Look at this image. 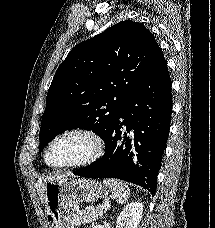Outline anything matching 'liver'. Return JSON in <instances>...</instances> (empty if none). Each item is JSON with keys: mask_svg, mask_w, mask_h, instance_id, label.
Returning <instances> with one entry per match:
<instances>
[{"mask_svg": "<svg viewBox=\"0 0 215 228\" xmlns=\"http://www.w3.org/2000/svg\"><path fill=\"white\" fill-rule=\"evenodd\" d=\"M60 178H65V176H44V178H39V180H37L36 188L42 204H45L46 182H54V180H60Z\"/></svg>", "mask_w": 215, "mask_h": 228, "instance_id": "1", "label": "liver"}]
</instances>
